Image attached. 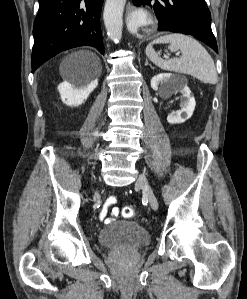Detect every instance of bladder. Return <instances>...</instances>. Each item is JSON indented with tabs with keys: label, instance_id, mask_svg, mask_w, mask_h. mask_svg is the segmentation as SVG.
Masks as SVG:
<instances>
[{
	"label": "bladder",
	"instance_id": "31cf9c89",
	"mask_svg": "<svg viewBox=\"0 0 247 299\" xmlns=\"http://www.w3.org/2000/svg\"><path fill=\"white\" fill-rule=\"evenodd\" d=\"M99 243L107 248H139L150 243V233L132 221H115L102 228Z\"/></svg>",
	"mask_w": 247,
	"mask_h": 299
}]
</instances>
